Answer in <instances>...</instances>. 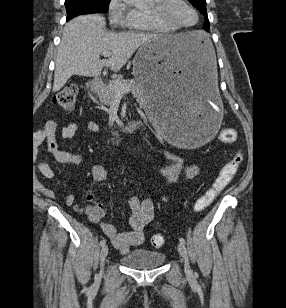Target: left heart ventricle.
I'll return each instance as SVG.
<instances>
[{"mask_svg": "<svg viewBox=\"0 0 286 308\" xmlns=\"http://www.w3.org/2000/svg\"><path fill=\"white\" fill-rule=\"evenodd\" d=\"M171 17L181 25H191L196 21L195 13L181 2H173L170 9Z\"/></svg>", "mask_w": 286, "mask_h": 308, "instance_id": "b2bd125f", "label": "left heart ventricle"}]
</instances>
